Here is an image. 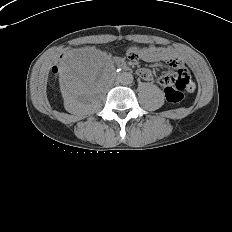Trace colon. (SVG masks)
<instances>
[{
	"instance_id": "5ec220e1",
	"label": "colon",
	"mask_w": 232,
	"mask_h": 232,
	"mask_svg": "<svg viewBox=\"0 0 232 232\" xmlns=\"http://www.w3.org/2000/svg\"><path fill=\"white\" fill-rule=\"evenodd\" d=\"M138 57L137 52L131 53V59ZM57 72V67L54 66L52 69ZM166 99L171 103H178L183 99V91L187 89L189 85V76L187 74L172 75L168 74L163 78Z\"/></svg>"
}]
</instances>
